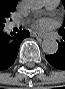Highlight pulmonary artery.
<instances>
[{"label": "pulmonary artery", "instance_id": "obj_1", "mask_svg": "<svg viewBox=\"0 0 65 89\" xmlns=\"http://www.w3.org/2000/svg\"><path fill=\"white\" fill-rule=\"evenodd\" d=\"M58 1L57 0H46L44 1V5L47 9L52 10L58 6ZM20 24V21H12L10 23L11 27L18 26Z\"/></svg>", "mask_w": 65, "mask_h": 89}]
</instances>
